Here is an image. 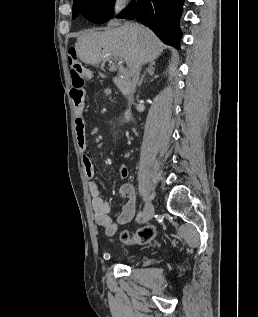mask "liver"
<instances>
[{"label": "liver", "instance_id": "liver-1", "mask_svg": "<svg viewBox=\"0 0 258 317\" xmlns=\"http://www.w3.org/2000/svg\"><path fill=\"white\" fill-rule=\"evenodd\" d=\"M163 46L156 34L138 22L125 20L111 30H85L75 42V50L83 62L98 64L103 58H123L132 68L137 60L153 62ZM109 70H116L111 64ZM117 82V80H115Z\"/></svg>", "mask_w": 258, "mask_h": 317}]
</instances>
